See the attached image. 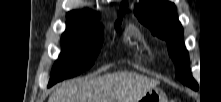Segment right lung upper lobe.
I'll use <instances>...</instances> for the list:
<instances>
[{
  "mask_svg": "<svg viewBox=\"0 0 221 102\" xmlns=\"http://www.w3.org/2000/svg\"><path fill=\"white\" fill-rule=\"evenodd\" d=\"M127 10V1L124 0L121 4L120 15ZM98 16L92 11L88 10H74L67 14V19L70 20H97Z\"/></svg>",
  "mask_w": 221,
  "mask_h": 102,
  "instance_id": "obj_1",
  "label": "right lung upper lobe"
}]
</instances>
